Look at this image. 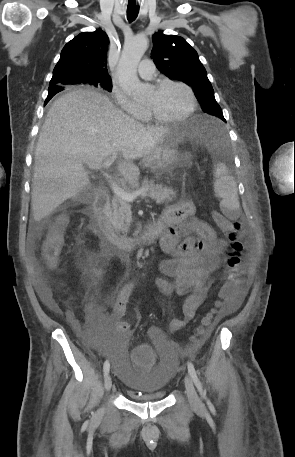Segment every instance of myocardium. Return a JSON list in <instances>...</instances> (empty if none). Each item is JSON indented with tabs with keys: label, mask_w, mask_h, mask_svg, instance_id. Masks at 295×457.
<instances>
[{
	"label": "myocardium",
	"mask_w": 295,
	"mask_h": 457,
	"mask_svg": "<svg viewBox=\"0 0 295 457\" xmlns=\"http://www.w3.org/2000/svg\"><path fill=\"white\" fill-rule=\"evenodd\" d=\"M168 85L180 86L187 91L189 98H190L189 108L183 114H181L179 116H175V117L161 116L153 108H151L149 106H145V110H146L148 116L152 120L159 122V123H176V122L184 121L187 118H189L192 114H194V112L197 109L198 103H197L196 95H195L193 89L188 84H186L182 81L172 80V79H161L153 85V88L155 90H160L163 87L168 86Z\"/></svg>",
	"instance_id": "myocardium-1"
}]
</instances>
